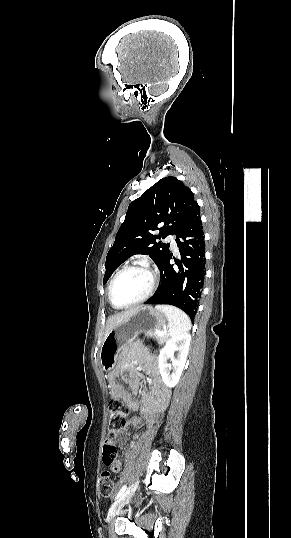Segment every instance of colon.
Returning <instances> with one entry per match:
<instances>
[{
	"instance_id": "5ec220e1",
	"label": "colon",
	"mask_w": 291,
	"mask_h": 538,
	"mask_svg": "<svg viewBox=\"0 0 291 538\" xmlns=\"http://www.w3.org/2000/svg\"><path fill=\"white\" fill-rule=\"evenodd\" d=\"M145 346L154 351L159 343L157 339L147 337L144 339ZM128 408L121 401L112 398L109 402V435L103 447V462L112 467L116 463V448L113 444L114 438L124 428L127 423ZM99 491L104 497H111L115 491V484L112 472H103L99 479Z\"/></svg>"
}]
</instances>
